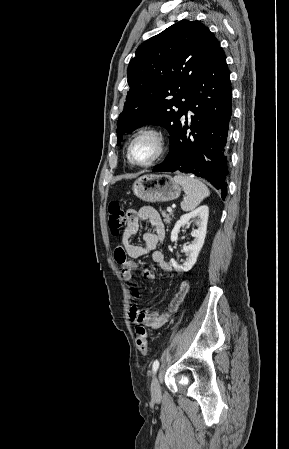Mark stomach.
<instances>
[{
	"label": "stomach",
	"mask_w": 289,
	"mask_h": 449,
	"mask_svg": "<svg viewBox=\"0 0 289 449\" xmlns=\"http://www.w3.org/2000/svg\"><path fill=\"white\" fill-rule=\"evenodd\" d=\"M135 196L146 202H167L175 200L181 193V187L166 174L143 175L132 186Z\"/></svg>",
	"instance_id": "obj_1"
}]
</instances>
